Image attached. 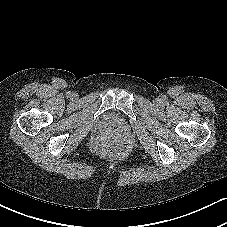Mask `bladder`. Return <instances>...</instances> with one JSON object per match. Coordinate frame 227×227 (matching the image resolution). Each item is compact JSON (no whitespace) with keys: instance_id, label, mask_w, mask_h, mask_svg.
I'll return each mask as SVG.
<instances>
[{"instance_id":"bladder-1","label":"bladder","mask_w":227,"mask_h":227,"mask_svg":"<svg viewBox=\"0 0 227 227\" xmlns=\"http://www.w3.org/2000/svg\"><path fill=\"white\" fill-rule=\"evenodd\" d=\"M104 126L110 129H123L124 122L115 114H108L104 119Z\"/></svg>"}]
</instances>
